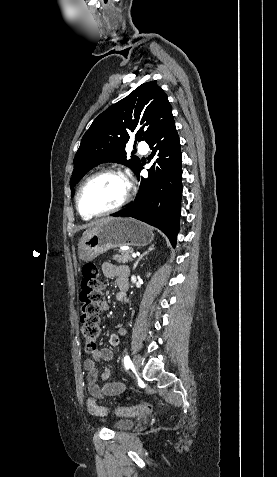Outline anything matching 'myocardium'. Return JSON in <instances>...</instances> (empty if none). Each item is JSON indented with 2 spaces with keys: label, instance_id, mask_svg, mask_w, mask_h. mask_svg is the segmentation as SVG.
<instances>
[{
  "label": "myocardium",
  "instance_id": "myocardium-1",
  "mask_svg": "<svg viewBox=\"0 0 277 477\" xmlns=\"http://www.w3.org/2000/svg\"><path fill=\"white\" fill-rule=\"evenodd\" d=\"M107 174L116 175V176H119L122 179H124V181L126 182V186H127L126 193H125L124 197L121 199V201L118 204H116L115 206H113V207H111L107 210L97 212V213H87V212L83 211L82 206H81V196H82L83 190L85 189V187L87 186V184L90 181H92L93 179H95L98 176L107 175ZM131 195H132V186H131L130 181L127 179L126 175L122 171H120L119 169L105 168V169H101V170L93 173L81 184V186L78 189L77 195H76V207H77V210H78L79 214L82 217H89V218L101 217V216H105V215L117 212L120 209H122L130 201Z\"/></svg>",
  "mask_w": 277,
  "mask_h": 477
}]
</instances>
